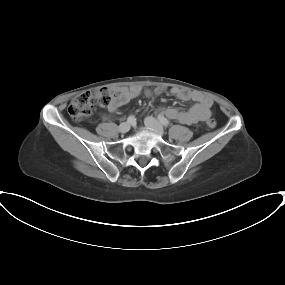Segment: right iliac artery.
<instances>
[{"label": "right iliac artery", "instance_id": "right-iliac-artery-1", "mask_svg": "<svg viewBox=\"0 0 285 285\" xmlns=\"http://www.w3.org/2000/svg\"><path fill=\"white\" fill-rule=\"evenodd\" d=\"M135 120H136V119H135L134 116H129L128 119H127V122H128V123H134Z\"/></svg>", "mask_w": 285, "mask_h": 285}]
</instances>
